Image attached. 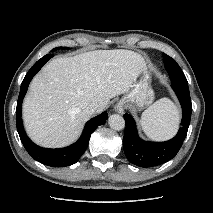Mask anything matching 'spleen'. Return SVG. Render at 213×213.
I'll return each instance as SVG.
<instances>
[{
  "instance_id": "3e777b00",
  "label": "spleen",
  "mask_w": 213,
  "mask_h": 213,
  "mask_svg": "<svg viewBox=\"0 0 213 213\" xmlns=\"http://www.w3.org/2000/svg\"><path fill=\"white\" fill-rule=\"evenodd\" d=\"M179 120L176 105L170 99L162 98L142 113L140 125L147 137L160 141L176 133Z\"/></svg>"
}]
</instances>
